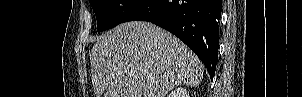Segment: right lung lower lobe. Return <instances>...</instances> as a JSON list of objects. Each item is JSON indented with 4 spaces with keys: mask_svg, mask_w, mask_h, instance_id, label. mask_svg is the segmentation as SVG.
<instances>
[{
    "mask_svg": "<svg viewBox=\"0 0 302 97\" xmlns=\"http://www.w3.org/2000/svg\"><path fill=\"white\" fill-rule=\"evenodd\" d=\"M222 0H141L123 22H152L181 39L206 66L213 79L219 46Z\"/></svg>",
    "mask_w": 302,
    "mask_h": 97,
    "instance_id": "1",
    "label": "right lung lower lobe"
}]
</instances>
